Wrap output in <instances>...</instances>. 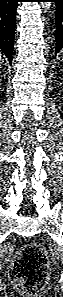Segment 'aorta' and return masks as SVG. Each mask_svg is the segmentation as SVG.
<instances>
[{
	"mask_svg": "<svg viewBox=\"0 0 63 297\" xmlns=\"http://www.w3.org/2000/svg\"><path fill=\"white\" fill-rule=\"evenodd\" d=\"M41 6L47 12L51 8L52 5L50 2H42Z\"/></svg>",
	"mask_w": 63,
	"mask_h": 297,
	"instance_id": "762f6f07",
	"label": "aorta"
}]
</instances>
